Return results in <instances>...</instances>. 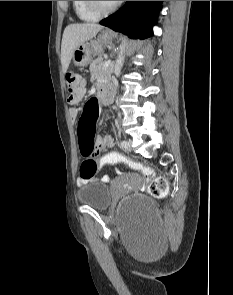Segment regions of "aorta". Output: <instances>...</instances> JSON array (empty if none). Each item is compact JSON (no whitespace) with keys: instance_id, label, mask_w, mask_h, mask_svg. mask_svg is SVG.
<instances>
[{"instance_id":"1","label":"aorta","mask_w":233,"mask_h":295,"mask_svg":"<svg viewBox=\"0 0 233 295\" xmlns=\"http://www.w3.org/2000/svg\"><path fill=\"white\" fill-rule=\"evenodd\" d=\"M126 45H127V43H126V40L124 39L120 45V51L118 54V58L115 61L114 72H120V70L124 64Z\"/></svg>"}]
</instances>
